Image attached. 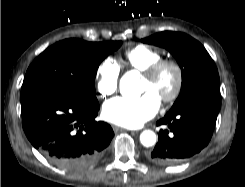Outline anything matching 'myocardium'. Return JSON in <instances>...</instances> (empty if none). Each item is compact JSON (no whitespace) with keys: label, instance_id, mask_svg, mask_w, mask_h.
Masks as SVG:
<instances>
[{"label":"myocardium","instance_id":"myocardium-1","mask_svg":"<svg viewBox=\"0 0 245 187\" xmlns=\"http://www.w3.org/2000/svg\"><path fill=\"white\" fill-rule=\"evenodd\" d=\"M166 69H169L174 73L175 80L172 90L168 94L162 95L160 100L164 103H172L180 96L184 84L183 69L176 60L170 58H161L151 64L144 71V76L147 79L154 81Z\"/></svg>","mask_w":245,"mask_h":187}]
</instances>
